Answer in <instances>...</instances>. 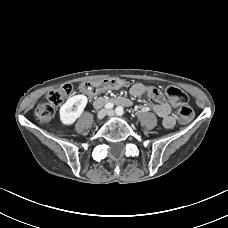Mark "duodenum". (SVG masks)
<instances>
[{"mask_svg": "<svg viewBox=\"0 0 228 228\" xmlns=\"http://www.w3.org/2000/svg\"><path fill=\"white\" fill-rule=\"evenodd\" d=\"M111 101H113L118 106H127V105L130 104V101L127 98H124V97H117V98L112 99ZM104 102H106V99H104V98H98L95 101V104L96 105H101Z\"/></svg>", "mask_w": 228, "mask_h": 228, "instance_id": "410a0bca", "label": "duodenum"}]
</instances>
